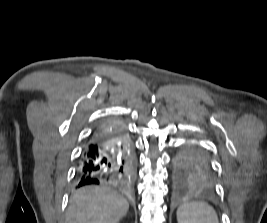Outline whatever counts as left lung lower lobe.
Instances as JSON below:
<instances>
[{"instance_id":"left-lung-lower-lobe-1","label":"left lung lower lobe","mask_w":267,"mask_h":223,"mask_svg":"<svg viewBox=\"0 0 267 223\" xmlns=\"http://www.w3.org/2000/svg\"><path fill=\"white\" fill-rule=\"evenodd\" d=\"M179 181L185 182L183 189H210L208 176H215V171H176Z\"/></svg>"}]
</instances>
